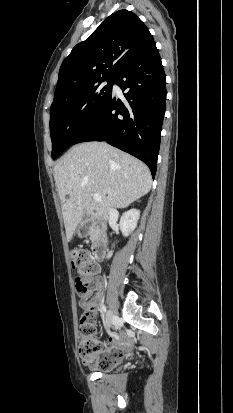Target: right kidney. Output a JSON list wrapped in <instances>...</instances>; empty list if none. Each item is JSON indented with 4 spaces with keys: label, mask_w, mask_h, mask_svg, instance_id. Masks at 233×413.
Instances as JSON below:
<instances>
[{
    "label": "right kidney",
    "mask_w": 233,
    "mask_h": 413,
    "mask_svg": "<svg viewBox=\"0 0 233 413\" xmlns=\"http://www.w3.org/2000/svg\"><path fill=\"white\" fill-rule=\"evenodd\" d=\"M140 217V211L138 209H130L125 212L119 222L120 230L125 237H128L136 228L138 220ZM113 252L109 251L107 258L109 259L112 256Z\"/></svg>",
    "instance_id": "obj_1"
}]
</instances>
